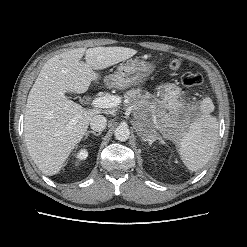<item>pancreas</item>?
Instances as JSON below:
<instances>
[{
  "mask_svg": "<svg viewBox=\"0 0 247 247\" xmlns=\"http://www.w3.org/2000/svg\"><path fill=\"white\" fill-rule=\"evenodd\" d=\"M124 98L127 101L126 104L134 105V112L136 114L141 113L142 108L145 105H150L153 110H156L158 107L154 100L149 102L151 95L148 92L143 93L139 88L130 89L128 92H126Z\"/></svg>",
  "mask_w": 247,
  "mask_h": 247,
  "instance_id": "pancreas-1",
  "label": "pancreas"
}]
</instances>
